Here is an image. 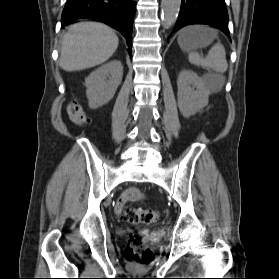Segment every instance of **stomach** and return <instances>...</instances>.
Masks as SVG:
<instances>
[{"mask_svg":"<svg viewBox=\"0 0 279 279\" xmlns=\"http://www.w3.org/2000/svg\"><path fill=\"white\" fill-rule=\"evenodd\" d=\"M215 32L204 26H190L178 36V44L183 51H192L208 46L214 39Z\"/></svg>","mask_w":279,"mask_h":279,"instance_id":"1","label":"stomach"}]
</instances>
